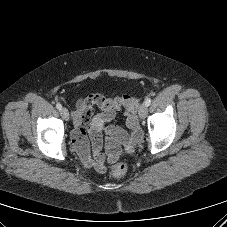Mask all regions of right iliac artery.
Returning a JSON list of instances; mask_svg holds the SVG:
<instances>
[{"instance_id":"82829eb1","label":"right iliac artery","mask_w":227,"mask_h":227,"mask_svg":"<svg viewBox=\"0 0 227 227\" xmlns=\"http://www.w3.org/2000/svg\"><path fill=\"white\" fill-rule=\"evenodd\" d=\"M56 108H57L58 110H61V109H62L61 104L57 103V104H56Z\"/></svg>"}]
</instances>
